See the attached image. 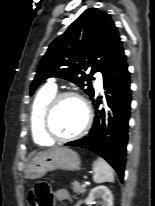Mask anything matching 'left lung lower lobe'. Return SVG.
<instances>
[{
    "label": "left lung lower lobe",
    "mask_w": 155,
    "mask_h": 206,
    "mask_svg": "<svg viewBox=\"0 0 155 206\" xmlns=\"http://www.w3.org/2000/svg\"><path fill=\"white\" fill-rule=\"evenodd\" d=\"M105 98L114 112L105 125V111L97 110L102 96L91 99L95 104V118L89 134L79 140L66 143V146L81 147L103 157L118 173L123 182L126 146L128 141V121L130 118L131 89L130 74L124 50L103 74Z\"/></svg>",
    "instance_id": "left-lung-lower-lobe-1"
}]
</instances>
